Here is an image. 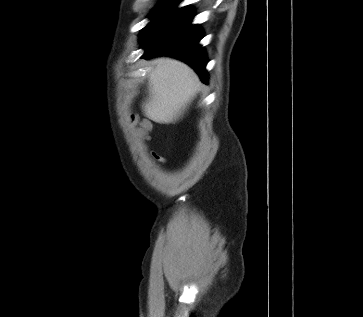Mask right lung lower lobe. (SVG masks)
I'll use <instances>...</instances> for the list:
<instances>
[{"mask_svg":"<svg viewBox=\"0 0 363 317\" xmlns=\"http://www.w3.org/2000/svg\"><path fill=\"white\" fill-rule=\"evenodd\" d=\"M193 13L190 7L173 9L161 17L141 37L142 47L146 49L143 57L171 55L192 66L201 80L207 83L205 66L207 59L199 41L202 32L191 25Z\"/></svg>","mask_w":363,"mask_h":317,"instance_id":"obj_1","label":"right lung lower lobe"}]
</instances>
